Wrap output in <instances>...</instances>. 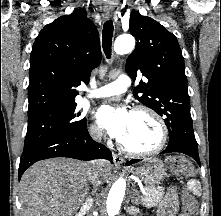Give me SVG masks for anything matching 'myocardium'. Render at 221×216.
Wrapping results in <instances>:
<instances>
[{"instance_id": "myocardium-1", "label": "myocardium", "mask_w": 221, "mask_h": 216, "mask_svg": "<svg viewBox=\"0 0 221 216\" xmlns=\"http://www.w3.org/2000/svg\"><path fill=\"white\" fill-rule=\"evenodd\" d=\"M133 114L136 113H144L148 116H150L158 125L159 131H160V138L157 144L150 149L147 150H136L132 149L128 146H126L121 140L119 141V147L120 149L125 152L126 154L132 155V156H149L158 153L161 151L164 146L166 145L168 141V127L162 118V116L153 108L146 106V105H139L136 106L133 111Z\"/></svg>"}]
</instances>
